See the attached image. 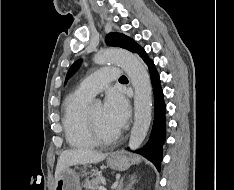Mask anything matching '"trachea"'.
Segmentation results:
<instances>
[{
	"instance_id": "trachea-1",
	"label": "trachea",
	"mask_w": 234,
	"mask_h": 190,
	"mask_svg": "<svg viewBox=\"0 0 234 190\" xmlns=\"http://www.w3.org/2000/svg\"><path fill=\"white\" fill-rule=\"evenodd\" d=\"M126 79H127V78L123 75V76L120 77L119 80H126Z\"/></svg>"
}]
</instances>
